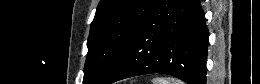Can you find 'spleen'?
<instances>
[{
	"label": "spleen",
	"mask_w": 260,
	"mask_h": 84,
	"mask_svg": "<svg viewBox=\"0 0 260 84\" xmlns=\"http://www.w3.org/2000/svg\"><path fill=\"white\" fill-rule=\"evenodd\" d=\"M152 84H184L181 80L173 77H155Z\"/></svg>",
	"instance_id": "spleen-1"
}]
</instances>
